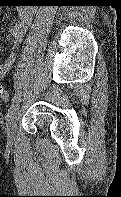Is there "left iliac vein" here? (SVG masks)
<instances>
[{"mask_svg":"<svg viewBox=\"0 0 121 197\" xmlns=\"http://www.w3.org/2000/svg\"><path fill=\"white\" fill-rule=\"evenodd\" d=\"M20 109L17 108L7 120V138L8 141L11 143L15 140L16 137V128H17V121L19 118Z\"/></svg>","mask_w":121,"mask_h":197,"instance_id":"obj_1","label":"left iliac vein"}]
</instances>
